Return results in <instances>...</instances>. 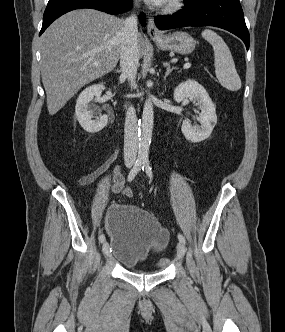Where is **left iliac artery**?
Here are the masks:
<instances>
[{"label": "left iliac artery", "mask_w": 285, "mask_h": 332, "mask_svg": "<svg viewBox=\"0 0 285 332\" xmlns=\"http://www.w3.org/2000/svg\"><path fill=\"white\" fill-rule=\"evenodd\" d=\"M142 170L145 171V173L148 175L150 180L153 179L152 169H151L149 161H144ZM178 239L181 243H183V244L186 243L185 238L182 234H178Z\"/></svg>", "instance_id": "obj_1"}]
</instances>
